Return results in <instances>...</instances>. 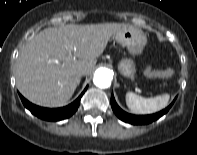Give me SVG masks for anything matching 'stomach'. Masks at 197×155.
Returning <instances> with one entry per match:
<instances>
[{"label": "stomach", "instance_id": "1", "mask_svg": "<svg viewBox=\"0 0 197 155\" xmlns=\"http://www.w3.org/2000/svg\"><path fill=\"white\" fill-rule=\"evenodd\" d=\"M115 39L127 48L132 56L141 54L146 44L145 34L133 26H124L117 30ZM118 69L124 77L134 79L136 67L132 59H122L118 64Z\"/></svg>", "mask_w": 197, "mask_h": 155}]
</instances>
